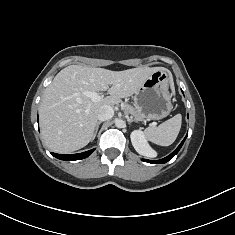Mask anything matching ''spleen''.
<instances>
[{"label": "spleen", "mask_w": 235, "mask_h": 235, "mask_svg": "<svg viewBox=\"0 0 235 235\" xmlns=\"http://www.w3.org/2000/svg\"><path fill=\"white\" fill-rule=\"evenodd\" d=\"M181 121V114H177L159 126L146 128L144 134L152 143L160 146H169L176 140L179 134Z\"/></svg>", "instance_id": "3e777b00"}]
</instances>
